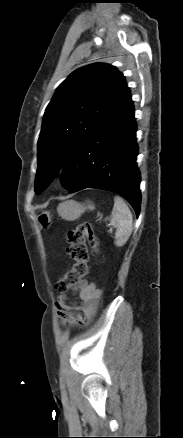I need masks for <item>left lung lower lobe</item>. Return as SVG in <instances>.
Masks as SVG:
<instances>
[{
	"label": "left lung lower lobe",
	"instance_id": "0a47b994",
	"mask_svg": "<svg viewBox=\"0 0 183 438\" xmlns=\"http://www.w3.org/2000/svg\"><path fill=\"white\" fill-rule=\"evenodd\" d=\"M136 122L131 97L74 151L63 167L69 192L97 188L123 196L140 212V172L136 157Z\"/></svg>",
	"mask_w": 183,
	"mask_h": 438
}]
</instances>
